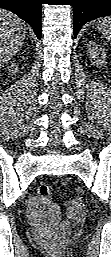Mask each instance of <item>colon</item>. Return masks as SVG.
<instances>
[{
	"mask_svg": "<svg viewBox=\"0 0 111 257\" xmlns=\"http://www.w3.org/2000/svg\"><path fill=\"white\" fill-rule=\"evenodd\" d=\"M51 190L47 186H41L38 189L37 201L42 208H52L50 203Z\"/></svg>",
	"mask_w": 111,
	"mask_h": 257,
	"instance_id": "1",
	"label": "colon"
}]
</instances>
